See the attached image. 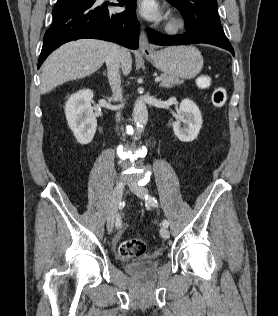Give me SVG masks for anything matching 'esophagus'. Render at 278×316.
<instances>
[{
  "label": "esophagus",
  "instance_id": "34e87169",
  "mask_svg": "<svg viewBox=\"0 0 278 316\" xmlns=\"http://www.w3.org/2000/svg\"><path fill=\"white\" fill-rule=\"evenodd\" d=\"M139 50L143 55H150L153 53V48L148 42L147 34L143 25L140 26Z\"/></svg>",
  "mask_w": 278,
  "mask_h": 316
}]
</instances>
